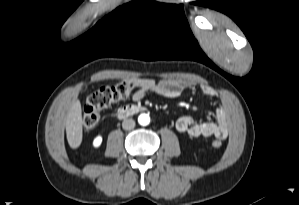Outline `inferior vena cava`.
<instances>
[{"label": "inferior vena cava", "instance_id": "obj_1", "mask_svg": "<svg viewBox=\"0 0 299 205\" xmlns=\"http://www.w3.org/2000/svg\"><path fill=\"white\" fill-rule=\"evenodd\" d=\"M122 127L124 130H132L135 127V121L133 119H125L122 122Z\"/></svg>", "mask_w": 299, "mask_h": 205}]
</instances>
